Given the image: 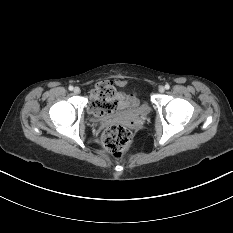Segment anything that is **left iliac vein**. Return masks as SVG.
<instances>
[{"label": "left iliac vein", "mask_w": 233, "mask_h": 233, "mask_svg": "<svg viewBox=\"0 0 233 233\" xmlns=\"http://www.w3.org/2000/svg\"><path fill=\"white\" fill-rule=\"evenodd\" d=\"M165 91V88L163 86H159V92L163 93Z\"/></svg>", "instance_id": "obj_1"}]
</instances>
